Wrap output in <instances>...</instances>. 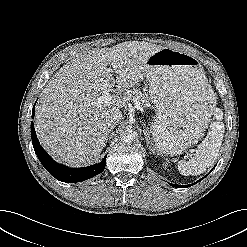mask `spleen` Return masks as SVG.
Here are the masks:
<instances>
[{"label": "spleen", "mask_w": 247, "mask_h": 247, "mask_svg": "<svg viewBox=\"0 0 247 247\" xmlns=\"http://www.w3.org/2000/svg\"><path fill=\"white\" fill-rule=\"evenodd\" d=\"M216 121L210 124L206 138L202 141L195 152L194 157L189 161L181 160L178 162V170L184 176L200 175L207 168L212 166L219 154V150L224 137L223 112L216 108L213 112Z\"/></svg>", "instance_id": "obj_1"}]
</instances>
